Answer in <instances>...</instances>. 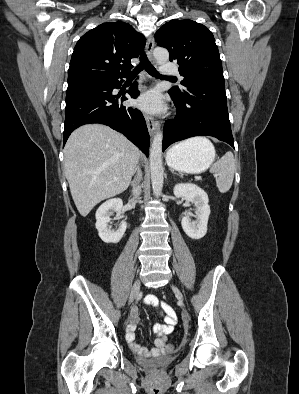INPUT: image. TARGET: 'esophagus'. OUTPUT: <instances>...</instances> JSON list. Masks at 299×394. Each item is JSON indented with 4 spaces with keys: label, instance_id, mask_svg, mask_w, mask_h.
Returning <instances> with one entry per match:
<instances>
[{
    "label": "esophagus",
    "instance_id": "esophagus-1",
    "mask_svg": "<svg viewBox=\"0 0 299 394\" xmlns=\"http://www.w3.org/2000/svg\"><path fill=\"white\" fill-rule=\"evenodd\" d=\"M153 48H154V38L153 36H150L147 40L146 43V54L149 57V59H153L152 56V52H153ZM145 120H146V124H147V128L150 134H153L159 127V123L158 121H156L152 116L146 114L145 115Z\"/></svg>",
    "mask_w": 299,
    "mask_h": 394
}]
</instances>
